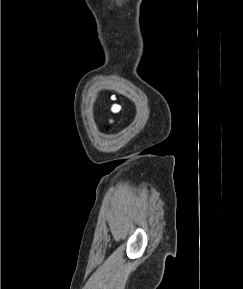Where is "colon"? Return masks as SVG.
Segmentation results:
<instances>
[{"label":"colon","mask_w":243,"mask_h":289,"mask_svg":"<svg viewBox=\"0 0 243 289\" xmlns=\"http://www.w3.org/2000/svg\"><path fill=\"white\" fill-rule=\"evenodd\" d=\"M120 110H121V107H120L119 104H116V103H115V104H113V106L111 107V112H112L113 114L119 113Z\"/></svg>","instance_id":"1"}]
</instances>
